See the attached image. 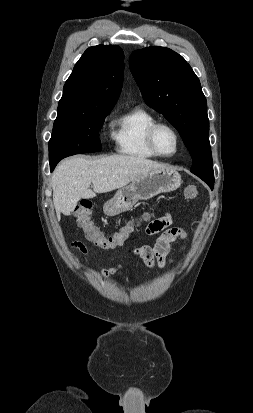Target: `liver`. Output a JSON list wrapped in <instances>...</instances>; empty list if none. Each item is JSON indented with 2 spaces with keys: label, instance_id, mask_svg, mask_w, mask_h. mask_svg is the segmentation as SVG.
I'll use <instances>...</instances> for the list:
<instances>
[{
  "label": "liver",
  "instance_id": "1",
  "mask_svg": "<svg viewBox=\"0 0 253 413\" xmlns=\"http://www.w3.org/2000/svg\"><path fill=\"white\" fill-rule=\"evenodd\" d=\"M168 168L140 156L112 155L89 159L83 156L63 160L51 178L53 203L57 219L61 213L70 215L82 198H94L96 193L120 189L138 176ZM93 185V190L90 185Z\"/></svg>",
  "mask_w": 253,
  "mask_h": 413
}]
</instances>
